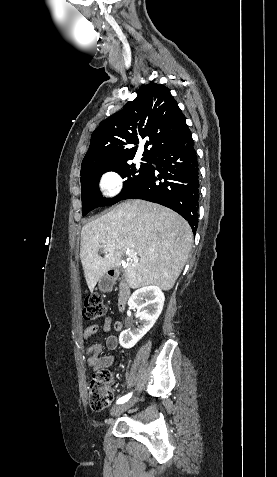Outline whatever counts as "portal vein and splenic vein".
Listing matches in <instances>:
<instances>
[{"label": "portal vein and splenic vein", "instance_id": "portal-vein-and-splenic-vein-1", "mask_svg": "<svg viewBox=\"0 0 277 477\" xmlns=\"http://www.w3.org/2000/svg\"><path fill=\"white\" fill-rule=\"evenodd\" d=\"M127 255H128L129 257H131V258H134V259L137 258V253H136L134 250H132V249H128V250H127Z\"/></svg>", "mask_w": 277, "mask_h": 477}]
</instances>
